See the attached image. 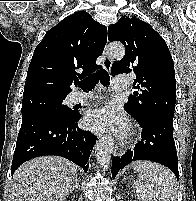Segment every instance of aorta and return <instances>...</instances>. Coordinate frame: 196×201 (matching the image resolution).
I'll list each match as a JSON object with an SVG mask.
<instances>
[{"label":"aorta","mask_w":196,"mask_h":201,"mask_svg":"<svg viewBox=\"0 0 196 201\" xmlns=\"http://www.w3.org/2000/svg\"><path fill=\"white\" fill-rule=\"evenodd\" d=\"M106 53L111 58L121 59L125 55V48L122 44H110ZM113 145V138L110 136L103 137L97 142L95 156L98 164L102 167L110 164Z\"/></svg>","instance_id":"762f6f07"}]
</instances>
